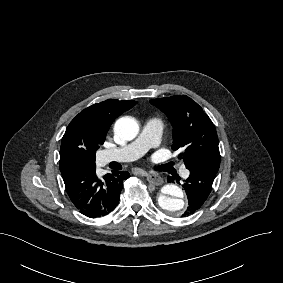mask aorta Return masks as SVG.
Returning <instances> with one entry per match:
<instances>
[{"label":"aorta","instance_id":"1","mask_svg":"<svg viewBox=\"0 0 283 283\" xmlns=\"http://www.w3.org/2000/svg\"><path fill=\"white\" fill-rule=\"evenodd\" d=\"M114 131L123 140L130 141L137 136L139 125L132 117H121L116 121ZM161 191L158 197L159 206L172 215L182 214L185 207L182 189L175 184H167Z\"/></svg>","mask_w":283,"mask_h":283}]
</instances>
